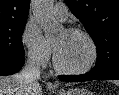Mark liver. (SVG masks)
Segmentation results:
<instances>
[{"label": "liver", "mask_w": 119, "mask_h": 95, "mask_svg": "<svg viewBox=\"0 0 119 95\" xmlns=\"http://www.w3.org/2000/svg\"><path fill=\"white\" fill-rule=\"evenodd\" d=\"M0 95H42V85L25 81L20 73L0 76Z\"/></svg>", "instance_id": "obj_1"}]
</instances>
